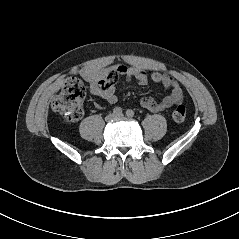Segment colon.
Listing matches in <instances>:
<instances>
[{"label": "colon", "instance_id": "1", "mask_svg": "<svg viewBox=\"0 0 239 239\" xmlns=\"http://www.w3.org/2000/svg\"><path fill=\"white\" fill-rule=\"evenodd\" d=\"M106 80L98 82V86L103 88ZM87 89L84 83L78 78H69L64 82L61 93L52 103V109L59 114L66 123L78 121L83 114V101L86 97ZM175 122L181 123L186 118V107L179 104L172 113Z\"/></svg>", "mask_w": 239, "mask_h": 239}]
</instances>
